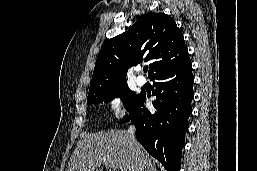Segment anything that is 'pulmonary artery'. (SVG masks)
<instances>
[{
    "instance_id": "e3ab8cb5",
    "label": "pulmonary artery",
    "mask_w": 257,
    "mask_h": 171,
    "mask_svg": "<svg viewBox=\"0 0 257 171\" xmlns=\"http://www.w3.org/2000/svg\"><path fill=\"white\" fill-rule=\"evenodd\" d=\"M136 83L138 86H143L146 83V80L143 76H137Z\"/></svg>"
}]
</instances>
